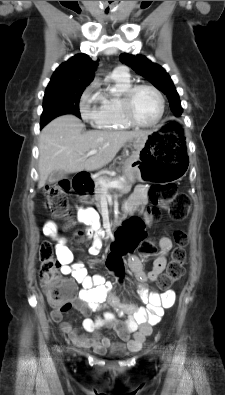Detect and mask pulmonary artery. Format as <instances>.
Masks as SVG:
<instances>
[{"label": "pulmonary artery", "instance_id": "e3ab8cb5", "mask_svg": "<svg viewBox=\"0 0 225 395\" xmlns=\"http://www.w3.org/2000/svg\"><path fill=\"white\" fill-rule=\"evenodd\" d=\"M113 73L117 74L119 76H123V77L129 76L128 68L126 66H118V67H116L114 69Z\"/></svg>", "mask_w": 225, "mask_h": 395}]
</instances>
